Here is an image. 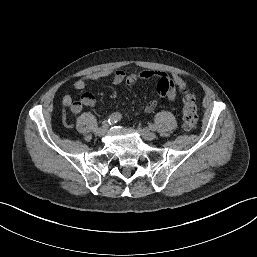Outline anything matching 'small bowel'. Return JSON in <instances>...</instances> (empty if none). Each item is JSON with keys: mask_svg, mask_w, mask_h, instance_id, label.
I'll use <instances>...</instances> for the list:
<instances>
[{"mask_svg": "<svg viewBox=\"0 0 257 257\" xmlns=\"http://www.w3.org/2000/svg\"><path fill=\"white\" fill-rule=\"evenodd\" d=\"M110 77L113 84L126 83L132 86L139 81H155L157 83V99L151 100L145 107V112H152L158 105L159 99L167 97L173 101L185 89L186 84L184 80L177 74L169 76L162 71L144 70L139 73L126 74L123 70H100L89 73L78 78L73 87L77 90H82L90 81H96L103 78ZM63 104L70 107L74 114H79L84 106L92 107L96 104L95 96L90 92L82 94L79 101L73 102L70 95H65L62 99Z\"/></svg>", "mask_w": 257, "mask_h": 257, "instance_id": "small-bowel-1", "label": "small bowel"}]
</instances>
